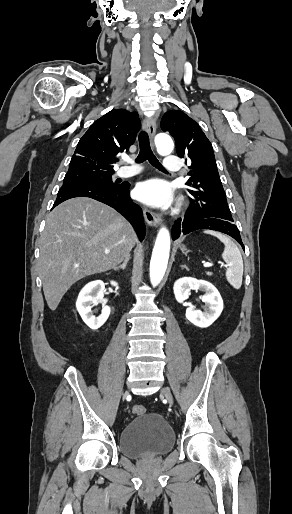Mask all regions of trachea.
<instances>
[{
	"instance_id": "3493384b",
	"label": "trachea",
	"mask_w": 292,
	"mask_h": 514,
	"mask_svg": "<svg viewBox=\"0 0 292 514\" xmlns=\"http://www.w3.org/2000/svg\"><path fill=\"white\" fill-rule=\"evenodd\" d=\"M139 147L140 152L138 157L136 158L137 163L144 162L145 160H148L153 167L159 170H164V167L161 165L159 160H157L156 156L152 152V149L150 147V141L147 132L141 131L139 134Z\"/></svg>"
}]
</instances>
